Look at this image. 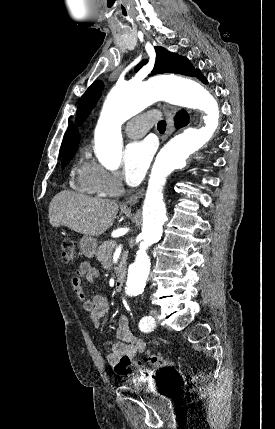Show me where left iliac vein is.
<instances>
[{
    "label": "left iliac vein",
    "instance_id": "1",
    "mask_svg": "<svg viewBox=\"0 0 275 429\" xmlns=\"http://www.w3.org/2000/svg\"><path fill=\"white\" fill-rule=\"evenodd\" d=\"M150 316L151 318L155 321H157V316H158V312L156 310H151L150 311Z\"/></svg>",
    "mask_w": 275,
    "mask_h": 429
}]
</instances>
